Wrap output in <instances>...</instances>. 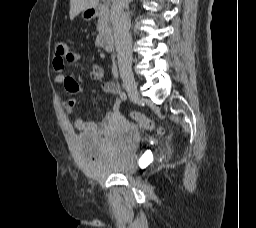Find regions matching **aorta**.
<instances>
[{
    "instance_id": "aorta-1",
    "label": "aorta",
    "mask_w": 256,
    "mask_h": 228,
    "mask_svg": "<svg viewBox=\"0 0 256 228\" xmlns=\"http://www.w3.org/2000/svg\"><path fill=\"white\" fill-rule=\"evenodd\" d=\"M124 20L126 21V23H128L130 25V18L128 14H124Z\"/></svg>"
}]
</instances>
